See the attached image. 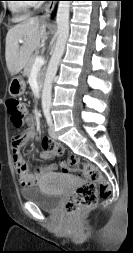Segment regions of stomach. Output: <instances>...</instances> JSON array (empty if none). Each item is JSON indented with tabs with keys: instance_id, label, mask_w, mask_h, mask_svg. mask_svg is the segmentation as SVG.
I'll list each match as a JSON object with an SVG mask.
<instances>
[{
	"instance_id": "stomach-1",
	"label": "stomach",
	"mask_w": 133,
	"mask_h": 253,
	"mask_svg": "<svg viewBox=\"0 0 133 253\" xmlns=\"http://www.w3.org/2000/svg\"><path fill=\"white\" fill-rule=\"evenodd\" d=\"M25 81L21 76L15 77L11 80L10 85H9V93L12 96H20L24 93L25 91Z\"/></svg>"
}]
</instances>
